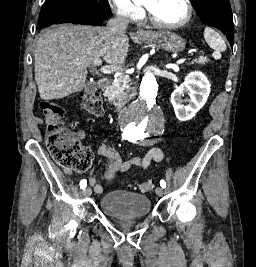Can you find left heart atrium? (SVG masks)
<instances>
[{
	"label": "left heart atrium",
	"instance_id": "1",
	"mask_svg": "<svg viewBox=\"0 0 256 267\" xmlns=\"http://www.w3.org/2000/svg\"><path fill=\"white\" fill-rule=\"evenodd\" d=\"M150 4V11L152 15V22H153V27L158 28L160 27L159 24L154 19V15L157 13V11L162 7V5L167 2V0H148Z\"/></svg>",
	"mask_w": 256,
	"mask_h": 267
}]
</instances>
